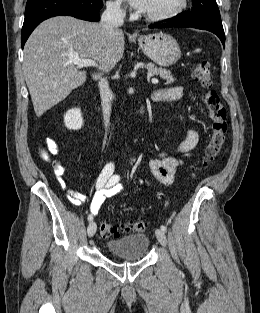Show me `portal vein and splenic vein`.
Segmentation results:
<instances>
[{
  "label": "portal vein and splenic vein",
  "instance_id": "portal-vein-and-splenic-vein-1",
  "mask_svg": "<svg viewBox=\"0 0 260 313\" xmlns=\"http://www.w3.org/2000/svg\"><path fill=\"white\" fill-rule=\"evenodd\" d=\"M70 62L76 64L78 68H82V67H98V64L95 61H93L91 59H80L77 56H71L70 57ZM99 68L102 69L101 67H99ZM151 82L153 84H157L159 81H158V79L153 78L151 80Z\"/></svg>",
  "mask_w": 260,
  "mask_h": 313
}]
</instances>
